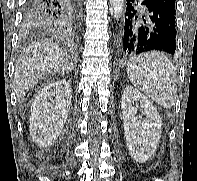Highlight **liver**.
<instances>
[{
	"label": "liver",
	"mask_w": 197,
	"mask_h": 181,
	"mask_svg": "<svg viewBox=\"0 0 197 181\" xmlns=\"http://www.w3.org/2000/svg\"><path fill=\"white\" fill-rule=\"evenodd\" d=\"M74 68L66 53L55 43L39 41L25 48L16 64L14 87L19 98H24L33 84L42 77L64 74Z\"/></svg>",
	"instance_id": "6515ba94"
}]
</instances>
